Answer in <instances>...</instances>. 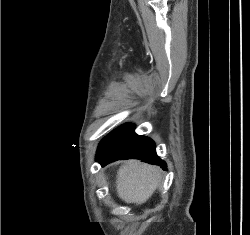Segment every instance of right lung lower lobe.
Returning <instances> with one entry per match:
<instances>
[{
  "label": "right lung lower lobe",
  "instance_id": "1",
  "mask_svg": "<svg viewBox=\"0 0 250 235\" xmlns=\"http://www.w3.org/2000/svg\"><path fill=\"white\" fill-rule=\"evenodd\" d=\"M134 128L133 124H125L106 136L98 147L96 160L106 165L116 160L135 158L166 170V163L156 154L154 142L135 134Z\"/></svg>",
  "mask_w": 250,
  "mask_h": 235
}]
</instances>
